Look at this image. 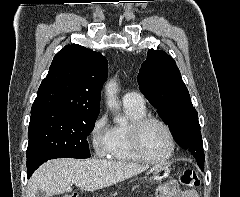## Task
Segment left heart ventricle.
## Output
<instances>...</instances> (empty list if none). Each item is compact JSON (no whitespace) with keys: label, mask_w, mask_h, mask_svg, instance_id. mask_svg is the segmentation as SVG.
<instances>
[{"label":"left heart ventricle","mask_w":240,"mask_h":197,"mask_svg":"<svg viewBox=\"0 0 240 197\" xmlns=\"http://www.w3.org/2000/svg\"><path fill=\"white\" fill-rule=\"evenodd\" d=\"M146 153L154 159H162L170 152V140L162 126L157 123L149 124L142 136Z\"/></svg>","instance_id":"obj_1"}]
</instances>
